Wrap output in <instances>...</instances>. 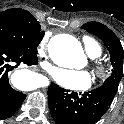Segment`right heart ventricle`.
<instances>
[{
    "mask_svg": "<svg viewBox=\"0 0 124 124\" xmlns=\"http://www.w3.org/2000/svg\"><path fill=\"white\" fill-rule=\"evenodd\" d=\"M84 48L91 58H97L102 53L100 44L92 37L85 36L82 39Z\"/></svg>",
    "mask_w": 124,
    "mask_h": 124,
    "instance_id": "obj_1",
    "label": "right heart ventricle"
}]
</instances>
